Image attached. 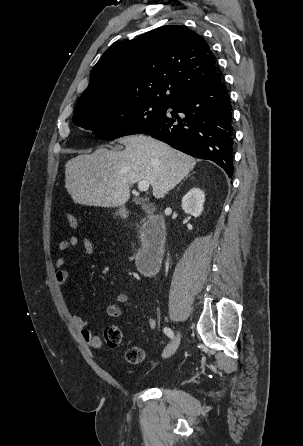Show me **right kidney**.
<instances>
[{
    "label": "right kidney",
    "instance_id": "ca27d5eb",
    "mask_svg": "<svg viewBox=\"0 0 303 446\" xmlns=\"http://www.w3.org/2000/svg\"><path fill=\"white\" fill-rule=\"evenodd\" d=\"M204 202V192L199 188H192L182 198V209L194 217H199L203 211Z\"/></svg>",
    "mask_w": 303,
    "mask_h": 446
}]
</instances>
